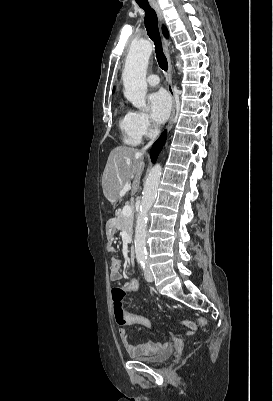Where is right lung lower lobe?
Returning <instances> with one entry per match:
<instances>
[{
    "mask_svg": "<svg viewBox=\"0 0 273 401\" xmlns=\"http://www.w3.org/2000/svg\"><path fill=\"white\" fill-rule=\"evenodd\" d=\"M166 140V131L162 133V135L158 138V140L153 144L151 150H150V157L153 163L156 162L157 157L160 153V151L163 148V145L165 144Z\"/></svg>",
    "mask_w": 273,
    "mask_h": 401,
    "instance_id": "98d812e1",
    "label": "right lung lower lobe"
}]
</instances>
